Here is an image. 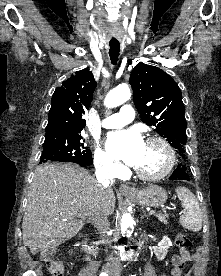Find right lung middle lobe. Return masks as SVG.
<instances>
[{"mask_svg":"<svg viewBox=\"0 0 221 276\" xmlns=\"http://www.w3.org/2000/svg\"><path fill=\"white\" fill-rule=\"evenodd\" d=\"M47 161L92 164V154L84 147L79 132L45 135L40 163Z\"/></svg>","mask_w":221,"mask_h":276,"instance_id":"dd1d6c3e","label":"right lung middle lobe"}]
</instances>
